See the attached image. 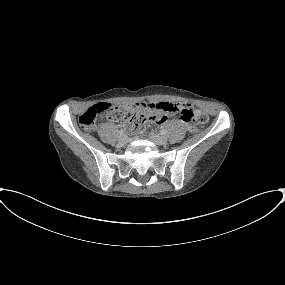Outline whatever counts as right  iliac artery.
Masks as SVG:
<instances>
[{
	"instance_id": "1",
	"label": "right iliac artery",
	"mask_w": 285,
	"mask_h": 285,
	"mask_svg": "<svg viewBox=\"0 0 285 285\" xmlns=\"http://www.w3.org/2000/svg\"><path fill=\"white\" fill-rule=\"evenodd\" d=\"M124 133H125V131H124L123 129H121V130L119 131L120 136L124 135Z\"/></svg>"
}]
</instances>
